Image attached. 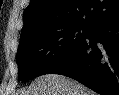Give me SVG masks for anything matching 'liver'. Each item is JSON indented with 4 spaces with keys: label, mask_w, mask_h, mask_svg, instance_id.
I'll return each instance as SVG.
<instances>
[{
    "label": "liver",
    "mask_w": 119,
    "mask_h": 95,
    "mask_svg": "<svg viewBox=\"0 0 119 95\" xmlns=\"http://www.w3.org/2000/svg\"><path fill=\"white\" fill-rule=\"evenodd\" d=\"M16 95H96L79 82L58 74L36 78L31 85Z\"/></svg>",
    "instance_id": "obj_1"
}]
</instances>
